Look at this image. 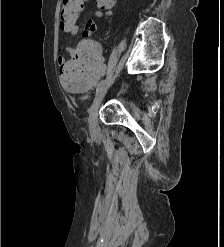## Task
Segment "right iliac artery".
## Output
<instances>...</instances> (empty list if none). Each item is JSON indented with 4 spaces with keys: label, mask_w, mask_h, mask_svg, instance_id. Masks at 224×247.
<instances>
[{
    "label": "right iliac artery",
    "mask_w": 224,
    "mask_h": 247,
    "mask_svg": "<svg viewBox=\"0 0 224 247\" xmlns=\"http://www.w3.org/2000/svg\"><path fill=\"white\" fill-rule=\"evenodd\" d=\"M105 85V80L101 81L97 86L96 92H99Z\"/></svg>",
    "instance_id": "obj_1"
}]
</instances>
